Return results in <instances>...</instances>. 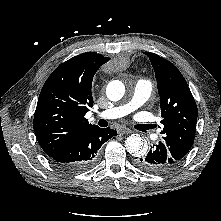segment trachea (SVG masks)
I'll use <instances>...</instances> for the list:
<instances>
[{
    "instance_id": "trachea-1",
    "label": "trachea",
    "mask_w": 221,
    "mask_h": 221,
    "mask_svg": "<svg viewBox=\"0 0 221 221\" xmlns=\"http://www.w3.org/2000/svg\"><path fill=\"white\" fill-rule=\"evenodd\" d=\"M99 125H100V126H103V127L106 126V121H105V120H102V119L99 120Z\"/></svg>"
}]
</instances>
